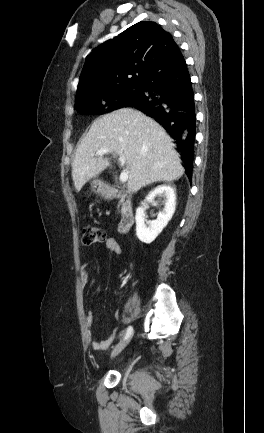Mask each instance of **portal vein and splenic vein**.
<instances>
[{"label":"portal vein and splenic vein","mask_w":264,"mask_h":433,"mask_svg":"<svg viewBox=\"0 0 264 433\" xmlns=\"http://www.w3.org/2000/svg\"><path fill=\"white\" fill-rule=\"evenodd\" d=\"M111 152L112 151L108 148H102L96 152V156L104 155V154L111 153ZM119 162H120V165L123 166L126 162L125 156L119 155ZM128 174H129V171L127 169H124L120 174V178H119L120 182L125 183L128 180Z\"/></svg>","instance_id":"obj_1"}]
</instances>
